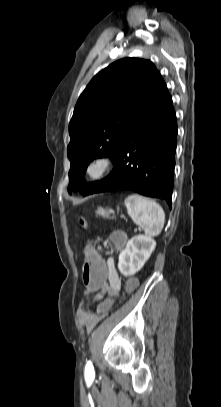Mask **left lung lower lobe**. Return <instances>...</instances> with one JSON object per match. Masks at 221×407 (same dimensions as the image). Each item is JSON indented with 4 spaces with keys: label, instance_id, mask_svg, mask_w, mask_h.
Returning <instances> with one entry per match:
<instances>
[{
    "label": "left lung lower lobe",
    "instance_id": "left-lung-lower-lobe-1",
    "mask_svg": "<svg viewBox=\"0 0 221 407\" xmlns=\"http://www.w3.org/2000/svg\"><path fill=\"white\" fill-rule=\"evenodd\" d=\"M176 146V114L162 80L128 127L113 171L83 194L131 190L171 207Z\"/></svg>",
    "mask_w": 221,
    "mask_h": 407
}]
</instances>
